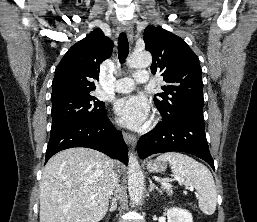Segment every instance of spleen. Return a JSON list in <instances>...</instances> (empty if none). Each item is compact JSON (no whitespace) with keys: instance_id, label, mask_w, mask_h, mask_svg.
Listing matches in <instances>:
<instances>
[{"instance_id":"1","label":"spleen","mask_w":257,"mask_h":222,"mask_svg":"<svg viewBox=\"0 0 257 222\" xmlns=\"http://www.w3.org/2000/svg\"><path fill=\"white\" fill-rule=\"evenodd\" d=\"M157 160L168 161L175 179L197 190L198 205L204 214L212 215L215 212L216 186L211 172L205 165L177 152L164 153Z\"/></svg>"}]
</instances>
